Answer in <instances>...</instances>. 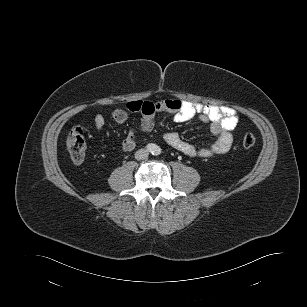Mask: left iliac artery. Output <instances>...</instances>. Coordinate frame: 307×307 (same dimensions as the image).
I'll list each match as a JSON object with an SVG mask.
<instances>
[{
  "label": "left iliac artery",
  "mask_w": 307,
  "mask_h": 307,
  "mask_svg": "<svg viewBox=\"0 0 307 307\" xmlns=\"http://www.w3.org/2000/svg\"><path fill=\"white\" fill-rule=\"evenodd\" d=\"M159 153H160V149H159V148H156L155 154L157 155V154H159Z\"/></svg>",
  "instance_id": "1"
}]
</instances>
